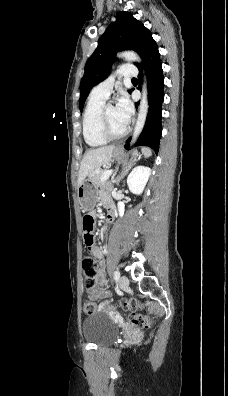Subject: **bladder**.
<instances>
[{
  "mask_svg": "<svg viewBox=\"0 0 228 396\" xmlns=\"http://www.w3.org/2000/svg\"><path fill=\"white\" fill-rule=\"evenodd\" d=\"M83 338L98 346L116 341L120 330L105 313H93L82 323Z\"/></svg>",
  "mask_w": 228,
  "mask_h": 396,
  "instance_id": "1",
  "label": "bladder"
}]
</instances>
